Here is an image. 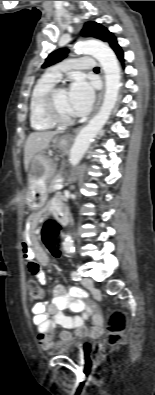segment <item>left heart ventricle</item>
<instances>
[{"label": "left heart ventricle", "mask_w": 155, "mask_h": 395, "mask_svg": "<svg viewBox=\"0 0 155 395\" xmlns=\"http://www.w3.org/2000/svg\"><path fill=\"white\" fill-rule=\"evenodd\" d=\"M55 104H56L57 112L59 113L60 116L64 118H72L73 115L71 114L69 108L67 90L63 89L57 93L55 98Z\"/></svg>", "instance_id": "left-heart-ventricle-1"}]
</instances>
